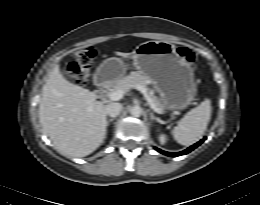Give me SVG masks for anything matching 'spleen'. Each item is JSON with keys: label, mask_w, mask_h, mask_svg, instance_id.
I'll return each instance as SVG.
<instances>
[{"label": "spleen", "mask_w": 260, "mask_h": 205, "mask_svg": "<svg viewBox=\"0 0 260 205\" xmlns=\"http://www.w3.org/2000/svg\"><path fill=\"white\" fill-rule=\"evenodd\" d=\"M211 110L209 99L191 109L174 127L172 131L174 139L181 145H191L198 141L207 128Z\"/></svg>", "instance_id": "1"}]
</instances>
